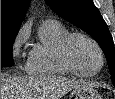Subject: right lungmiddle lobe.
<instances>
[{
	"instance_id": "1",
	"label": "right lung middle lobe",
	"mask_w": 115,
	"mask_h": 99,
	"mask_svg": "<svg viewBox=\"0 0 115 99\" xmlns=\"http://www.w3.org/2000/svg\"><path fill=\"white\" fill-rule=\"evenodd\" d=\"M17 33H1V67L14 65L12 45Z\"/></svg>"
}]
</instances>
